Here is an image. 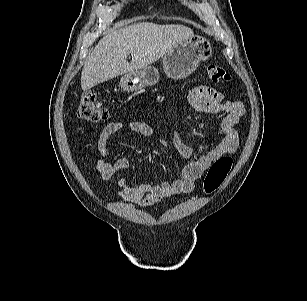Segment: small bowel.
Returning <instances> with one entry per match:
<instances>
[{"mask_svg": "<svg viewBox=\"0 0 307 301\" xmlns=\"http://www.w3.org/2000/svg\"><path fill=\"white\" fill-rule=\"evenodd\" d=\"M187 101L197 112L223 115L220 122L222 140L207 153L196 156L193 148L184 142L177 133L172 132L170 139L177 152L181 157L190 160V163L182 169L181 176L172 182L163 181L159 184L151 181L130 184L122 178L119 180L120 190L117 192L122 200L137 203L141 207H149L161 199L190 193L197 180L203 176L215 160L238 150L239 134L235 127L245 112V106L242 102L224 99L214 89L203 85L192 88L187 94ZM123 129L142 137L154 135L152 126L143 121L110 122L102 129L97 142L98 151L103 156H107L110 151V137ZM128 167L129 160L125 157L118 158L114 162L102 159L97 162V169L103 180L112 178L117 172Z\"/></svg>", "mask_w": 307, "mask_h": 301, "instance_id": "obj_1", "label": "small bowel"}]
</instances>
